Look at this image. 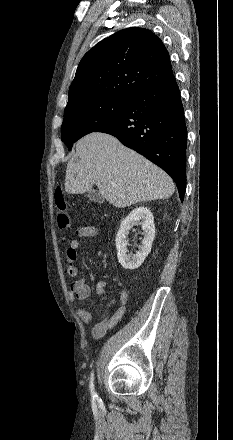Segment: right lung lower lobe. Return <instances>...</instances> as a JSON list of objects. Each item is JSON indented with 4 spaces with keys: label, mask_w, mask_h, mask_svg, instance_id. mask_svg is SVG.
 I'll return each mask as SVG.
<instances>
[{
    "label": "right lung lower lobe",
    "mask_w": 233,
    "mask_h": 440,
    "mask_svg": "<svg viewBox=\"0 0 233 440\" xmlns=\"http://www.w3.org/2000/svg\"><path fill=\"white\" fill-rule=\"evenodd\" d=\"M95 132L115 136L165 170L183 201L186 187L187 128L180 91L172 75L134 94L113 121Z\"/></svg>",
    "instance_id": "1"
}]
</instances>
